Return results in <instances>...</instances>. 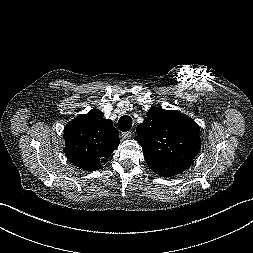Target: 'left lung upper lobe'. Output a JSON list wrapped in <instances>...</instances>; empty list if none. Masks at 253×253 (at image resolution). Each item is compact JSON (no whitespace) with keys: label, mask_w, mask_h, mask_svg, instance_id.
Wrapping results in <instances>:
<instances>
[{"label":"left lung upper lobe","mask_w":253,"mask_h":253,"mask_svg":"<svg viewBox=\"0 0 253 253\" xmlns=\"http://www.w3.org/2000/svg\"><path fill=\"white\" fill-rule=\"evenodd\" d=\"M199 126L175 110L153 107L136 129L148 166L157 174L171 177L182 173L199 153Z\"/></svg>","instance_id":"1"}]
</instances>
